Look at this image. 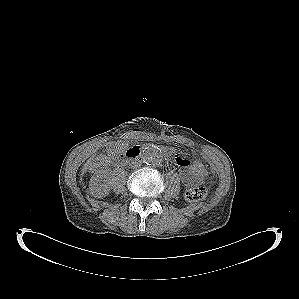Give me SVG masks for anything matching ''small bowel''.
Instances as JSON below:
<instances>
[{"label": "small bowel", "instance_id": "small-bowel-1", "mask_svg": "<svg viewBox=\"0 0 299 299\" xmlns=\"http://www.w3.org/2000/svg\"><path fill=\"white\" fill-rule=\"evenodd\" d=\"M117 152H118V148H110L108 151V154L110 156H113ZM175 163L179 167L180 176H181L183 183L186 186L194 185L196 183V181L193 177V174L191 171V164H190L189 160H187L181 156H176Z\"/></svg>", "mask_w": 299, "mask_h": 299}]
</instances>
